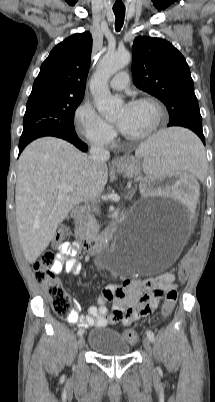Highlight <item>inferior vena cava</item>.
Segmentation results:
<instances>
[{
  "mask_svg": "<svg viewBox=\"0 0 215 402\" xmlns=\"http://www.w3.org/2000/svg\"><path fill=\"white\" fill-rule=\"evenodd\" d=\"M90 155L93 163L97 166L106 164V161L110 158L109 151L104 149L102 145H92Z\"/></svg>",
  "mask_w": 215,
  "mask_h": 402,
  "instance_id": "1",
  "label": "inferior vena cava"
}]
</instances>
